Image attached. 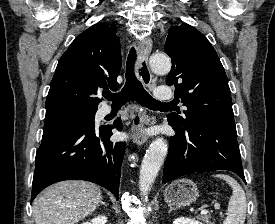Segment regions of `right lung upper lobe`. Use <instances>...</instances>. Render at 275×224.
Wrapping results in <instances>:
<instances>
[{"mask_svg": "<svg viewBox=\"0 0 275 224\" xmlns=\"http://www.w3.org/2000/svg\"><path fill=\"white\" fill-rule=\"evenodd\" d=\"M116 26L97 23L78 35L60 58L46 113L67 107L97 109L98 91L117 89L121 52Z\"/></svg>", "mask_w": 275, "mask_h": 224, "instance_id": "right-lung-upper-lobe-1", "label": "right lung upper lobe"}]
</instances>
